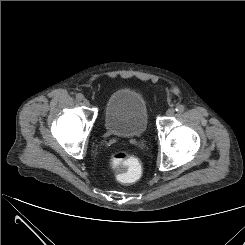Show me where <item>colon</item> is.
<instances>
[{
	"mask_svg": "<svg viewBox=\"0 0 245 245\" xmlns=\"http://www.w3.org/2000/svg\"><path fill=\"white\" fill-rule=\"evenodd\" d=\"M110 164L120 169L118 180L123 184H132L138 179L140 164L138 160L126 152H118L112 155Z\"/></svg>",
	"mask_w": 245,
	"mask_h": 245,
	"instance_id": "5ec220e1",
	"label": "colon"
}]
</instances>
